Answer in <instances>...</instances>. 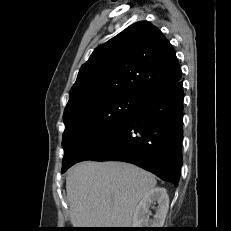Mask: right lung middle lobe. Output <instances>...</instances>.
I'll list each match as a JSON object with an SVG mask.
<instances>
[{
    "mask_svg": "<svg viewBox=\"0 0 231 231\" xmlns=\"http://www.w3.org/2000/svg\"><path fill=\"white\" fill-rule=\"evenodd\" d=\"M136 106V96L123 95L64 115L62 173L119 129Z\"/></svg>",
    "mask_w": 231,
    "mask_h": 231,
    "instance_id": "1",
    "label": "right lung middle lobe"
}]
</instances>
